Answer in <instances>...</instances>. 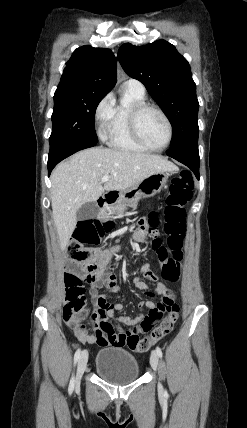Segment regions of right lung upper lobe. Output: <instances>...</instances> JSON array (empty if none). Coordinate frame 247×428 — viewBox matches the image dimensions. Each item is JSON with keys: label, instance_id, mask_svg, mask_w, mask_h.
Wrapping results in <instances>:
<instances>
[{"label": "right lung upper lobe", "instance_id": "1", "mask_svg": "<svg viewBox=\"0 0 247 428\" xmlns=\"http://www.w3.org/2000/svg\"><path fill=\"white\" fill-rule=\"evenodd\" d=\"M116 58L111 50L82 46L74 51L55 94L70 91L109 93L116 84Z\"/></svg>", "mask_w": 247, "mask_h": 428}]
</instances>
